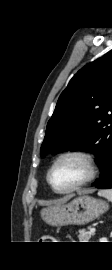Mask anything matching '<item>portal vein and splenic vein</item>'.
Wrapping results in <instances>:
<instances>
[{
    "mask_svg": "<svg viewBox=\"0 0 112 270\" xmlns=\"http://www.w3.org/2000/svg\"><path fill=\"white\" fill-rule=\"evenodd\" d=\"M95 230H96L95 227H90V232H91V233H94Z\"/></svg>",
    "mask_w": 112,
    "mask_h": 270,
    "instance_id": "obj_1",
    "label": "portal vein and splenic vein"
}]
</instances>
